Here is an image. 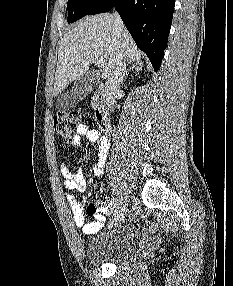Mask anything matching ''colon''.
<instances>
[{
    "label": "colon",
    "instance_id": "colon-1",
    "mask_svg": "<svg viewBox=\"0 0 233 286\" xmlns=\"http://www.w3.org/2000/svg\"><path fill=\"white\" fill-rule=\"evenodd\" d=\"M83 119V115L78 111L58 112L53 117L54 130L62 139L71 140Z\"/></svg>",
    "mask_w": 233,
    "mask_h": 286
}]
</instances>
